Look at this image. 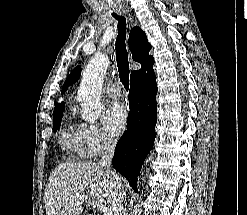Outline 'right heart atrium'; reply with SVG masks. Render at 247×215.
<instances>
[{
  "label": "right heart atrium",
  "instance_id": "right-heart-atrium-1",
  "mask_svg": "<svg viewBox=\"0 0 247 215\" xmlns=\"http://www.w3.org/2000/svg\"><path fill=\"white\" fill-rule=\"evenodd\" d=\"M79 136L85 145L87 157H97L117 144V137L106 127L98 124H81L78 128Z\"/></svg>",
  "mask_w": 247,
  "mask_h": 215
}]
</instances>
